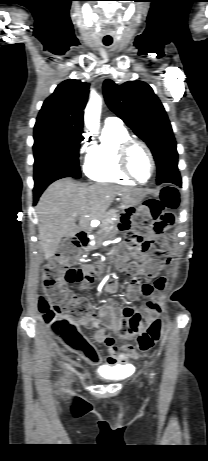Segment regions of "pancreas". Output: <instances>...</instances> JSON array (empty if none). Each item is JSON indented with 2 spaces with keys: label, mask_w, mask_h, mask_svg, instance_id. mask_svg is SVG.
Wrapping results in <instances>:
<instances>
[{
  "label": "pancreas",
  "mask_w": 208,
  "mask_h": 461,
  "mask_svg": "<svg viewBox=\"0 0 208 461\" xmlns=\"http://www.w3.org/2000/svg\"><path fill=\"white\" fill-rule=\"evenodd\" d=\"M117 218H118L117 210L115 209L109 210L105 214L102 220L101 229L98 233L102 234L103 232L109 231L110 229L114 228Z\"/></svg>",
  "instance_id": "pancreas-1"
}]
</instances>
